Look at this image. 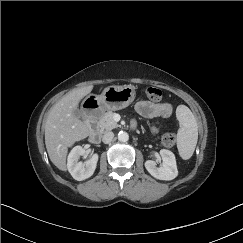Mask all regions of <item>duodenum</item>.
I'll list each match as a JSON object with an SVG mask.
<instances>
[{"label":"duodenum","mask_w":243,"mask_h":243,"mask_svg":"<svg viewBox=\"0 0 243 243\" xmlns=\"http://www.w3.org/2000/svg\"><path fill=\"white\" fill-rule=\"evenodd\" d=\"M101 112V111H100ZM102 135L98 129L97 123L90 124L89 141L92 144H99L101 142Z\"/></svg>","instance_id":"410a0bca"}]
</instances>
